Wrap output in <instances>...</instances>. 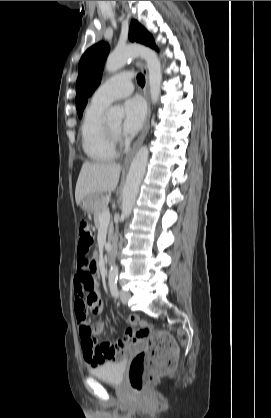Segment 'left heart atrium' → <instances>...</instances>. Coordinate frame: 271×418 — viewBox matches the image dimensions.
I'll list each match as a JSON object with an SVG mask.
<instances>
[{
	"instance_id": "1",
	"label": "left heart atrium",
	"mask_w": 271,
	"mask_h": 418,
	"mask_svg": "<svg viewBox=\"0 0 271 418\" xmlns=\"http://www.w3.org/2000/svg\"><path fill=\"white\" fill-rule=\"evenodd\" d=\"M125 118L122 131L127 136L136 134L142 127L146 108L142 99L133 97L128 99L124 104Z\"/></svg>"
}]
</instances>
